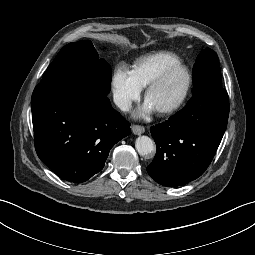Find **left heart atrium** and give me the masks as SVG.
Segmentation results:
<instances>
[{
    "mask_svg": "<svg viewBox=\"0 0 255 255\" xmlns=\"http://www.w3.org/2000/svg\"><path fill=\"white\" fill-rule=\"evenodd\" d=\"M155 109L147 102L143 105V107L139 110L138 115L139 116H147L151 114Z\"/></svg>",
    "mask_w": 255,
    "mask_h": 255,
    "instance_id": "left-heart-atrium-1",
    "label": "left heart atrium"
}]
</instances>
